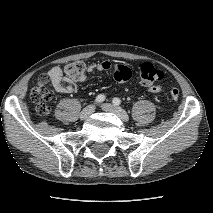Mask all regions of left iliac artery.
<instances>
[{"label": "left iliac artery", "instance_id": "obj_1", "mask_svg": "<svg viewBox=\"0 0 213 213\" xmlns=\"http://www.w3.org/2000/svg\"><path fill=\"white\" fill-rule=\"evenodd\" d=\"M113 103H114L115 105H120V104H121V100H120L119 98L115 97V98L113 99Z\"/></svg>", "mask_w": 213, "mask_h": 213}]
</instances>
